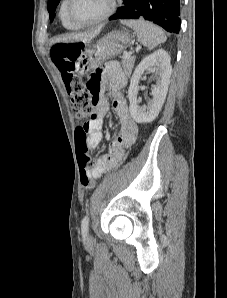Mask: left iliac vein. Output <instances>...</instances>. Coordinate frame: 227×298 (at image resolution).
Wrapping results in <instances>:
<instances>
[{"mask_svg": "<svg viewBox=\"0 0 227 298\" xmlns=\"http://www.w3.org/2000/svg\"><path fill=\"white\" fill-rule=\"evenodd\" d=\"M86 239L88 242H92V236L88 235Z\"/></svg>", "mask_w": 227, "mask_h": 298, "instance_id": "obj_1", "label": "left iliac vein"}]
</instances>
